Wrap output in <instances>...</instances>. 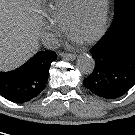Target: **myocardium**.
Instances as JSON below:
<instances>
[{
	"instance_id": "myocardium-1",
	"label": "myocardium",
	"mask_w": 135,
	"mask_h": 135,
	"mask_svg": "<svg viewBox=\"0 0 135 135\" xmlns=\"http://www.w3.org/2000/svg\"><path fill=\"white\" fill-rule=\"evenodd\" d=\"M87 3L88 0H82L79 7L75 11V13L71 16L69 21L66 24V33L70 38L72 37L71 31L76 22H78L86 13L87 11ZM109 10H110V0L104 1L103 10L100 17V24L93 36H91L89 39L79 42L83 45H91L99 41L106 33L108 28V21H109Z\"/></svg>"
}]
</instances>
